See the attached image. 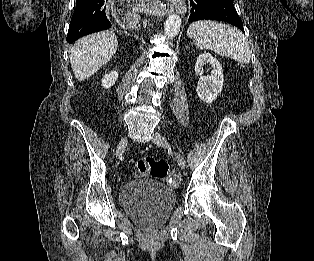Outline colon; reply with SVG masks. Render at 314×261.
I'll return each instance as SVG.
<instances>
[{
	"label": "colon",
	"mask_w": 314,
	"mask_h": 261,
	"mask_svg": "<svg viewBox=\"0 0 314 261\" xmlns=\"http://www.w3.org/2000/svg\"><path fill=\"white\" fill-rule=\"evenodd\" d=\"M133 175L164 180L170 177V169L168 163L163 159L144 157L135 163Z\"/></svg>",
	"instance_id": "5ec220e1"
}]
</instances>
